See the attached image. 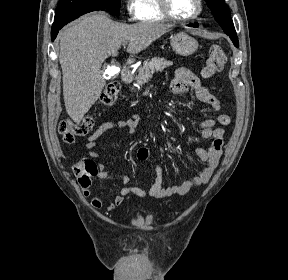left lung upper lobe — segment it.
<instances>
[{
	"instance_id": "obj_1",
	"label": "left lung upper lobe",
	"mask_w": 288,
	"mask_h": 280,
	"mask_svg": "<svg viewBox=\"0 0 288 280\" xmlns=\"http://www.w3.org/2000/svg\"><path fill=\"white\" fill-rule=\"evenodd\" d=\"M214 18L219 22L223 31L231 38L233 44L239 47L238 37L233 25L229 7L224 0H205Z\"/></svg>"
}]
</instances>
